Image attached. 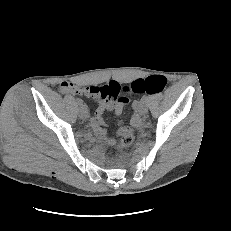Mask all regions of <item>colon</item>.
I'll return each instance as SVG.
<instances>
[{"label":"colon","instance_id":"1","mask_svg":"<svg viewBox=\"0 0 231 231\" xmlns=\"http://www.w3.org/2000/svg\"><path fill=\"white\" fill-rule=\"evenodd\" d=\"M167 84V79L162 75H152L144 79H137L129 85L120 86L118 83L111 82L104 87V95L118 99L119 95L124 93L122 97H134L139 94H158L163 92ZM134 141V135L130 128H125L121 134L116 148L123 149L129 147Z\"/></svg>","mask_w":231,"mask_h":231}]
</instances>
